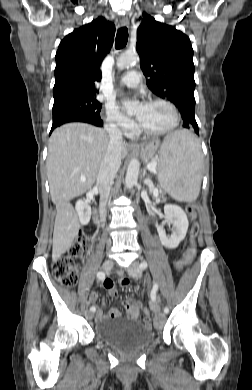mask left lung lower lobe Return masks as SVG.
I'll list each match as a JSON object with an SVG mask.
<instances>
[{
	"mask_svg": "<svg viewBox=\"0 0 252 390\" xmlns=\"http://www.w3.org/2000/svg\"><path fill=\"white\" fill-rule=\"evenodd\" d=\"M183 127L188 129H194L195 133L198 134V125L196 123V120L192 115L183 116Z\"/></svg>",
	"mask_w": 252,
	"mask_h": 390,
	"instance_id": "0a47b994",
	"label": "left lung lower lobe"
}]
</instances>
